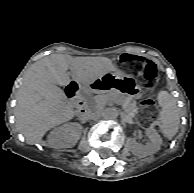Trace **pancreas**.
Instances as JSON below:
<instances>
[{
	"label": "pancreas",
	"mask_w": 194,
	"mask_h": 193,
	"mask_svg": "<svg viewBox=\"0 0 194 193\" xmlns=\"http://www.w3.org/2000/svg\"><path fill=\"white\" fill-rule=\"evenodd\" d=\"M100 98L104 99L102 102V106H104L108 101H110L111 103H115L117 106L123 107L125 112L130 116H134L136 110V102L127 99L126 96L108 93L105 95H100Z\"/></svg>",
	"instance_id": "1"
}]
</instances>
